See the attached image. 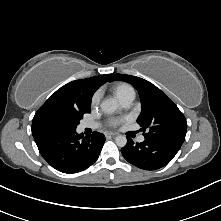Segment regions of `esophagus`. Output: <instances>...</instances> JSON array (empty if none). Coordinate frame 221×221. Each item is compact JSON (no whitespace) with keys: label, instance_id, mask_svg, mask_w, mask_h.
<instances>
[{"label":"esophagus","instance_id":"1","mask_svg":"<svg viewBox=\"0 0 221 221\" xmlns=\"http://www.w3.org/2000/svg\"><path fill=\"white\" fill-rule=\"evenodd\" d=\"M105 135L106 136H116L117 133H115V132H107Z\"/></svg>","mask_w":221,"mask_h":221}]
</instances>
